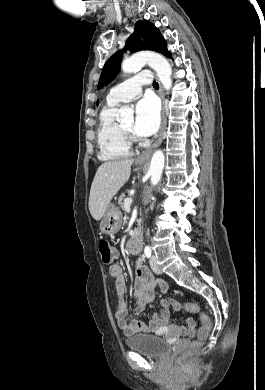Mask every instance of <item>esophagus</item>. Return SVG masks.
Here are the masks:
<instances>
[{
  "instance_id": "1",
  "label": "esophagus",
  "mask_w": 265,
  "mask_h": 390,
  "mask_svg": "<svg viewBox=\"0 0 265 390\" xmlns=\"http://www.w3.org/2000/svg\"><path fill=\"white\" fill-rule=\"evenodd\" d=\"M158 83H159V95H160V98L162 101V124H161V128H160V132H159V135H158L156 141L154 142V144L141 153V155L137 158V162L149 161L153 151L162 143L163 134H164L165 127H166L165 98H164L163 87H162L161 83L159 82V80H158Z\"/></svg>"
}]
</instances>
